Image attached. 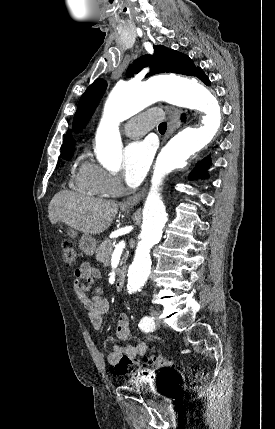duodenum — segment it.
<instances>
[{"label": "duodenum", "mask_w": 275, "mask_h": 429, "mask_svg": "<svg viewBox=\"0 0 275 429\" xmlns=\"http://www.w3.org/2000/svg\"><path fill=\"white\" fill-rule=\"evenodd\" d=\"M124 283H125V275L123 272L119 273L116 281H115V288L117 291H121L124 287Z\"/></svg>", "instance_id": "obj_1"}]
</instances>
